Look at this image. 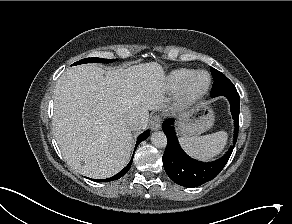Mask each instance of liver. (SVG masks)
<instances>
[{"instance_id": "obj_1", "label": "liver", "mask_w": 292, "mask_h": 224, "mask_svg": "<svg viewBox=\"0 0 292 224\" xmlns=\"http://www.w3.org/2000/svg\"><path fill=\"white\" fill-rule=\"evenodd\" d=\"M165 71L157 62L104 70L93 64L67 69L54 89L53 132L67 163L104 179L127 164L133 144L130 118L147 127L148 110L164 107ZM81 161L84 165H81Z\"/></svg>"}]
</instances>
